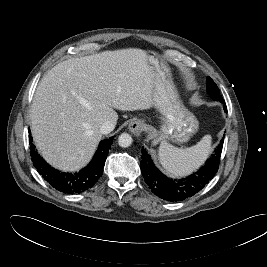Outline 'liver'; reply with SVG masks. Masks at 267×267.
Instances as JSON below:
<instances>
[{"instance_id": "1", "label": "liver", "mask_w": 267, "mask_h": 267, "mask_svg": "<svg viewBox=\"0 0 267 267\" xmlns=\"http://www.w3.org/2000/svg\"><path fill=\"white\" fill-rule=\"evenodd\" d=\"M153 74L147 54L122 49L58 63L40 81L30 109L41 155L55 168L75 171L92 158L115 109H150Z\"/></svg>"}]
</instances>
